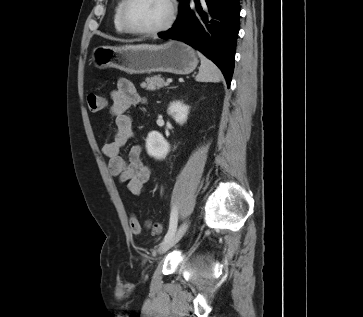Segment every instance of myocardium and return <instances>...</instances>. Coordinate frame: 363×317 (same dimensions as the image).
I'll return each instance as SVG.
<instances>
[{"label": "myocardium", "instance_id": "1", "mask_svg": "<svg viewBox=\"0 0 363 317\" xmlns=\"http://www.w3.org/2000/svg\"><path fill=\"white\" fill-rule=\"evenodd\" d=\"M132 2H133V0H124L122 7H121V12H120L122 26L130 34L139 35V36L159 35L165 31H167L173 25V23L176 19V15H177L176 0H166L167 4L169 6V14H168L166 21L162 25H160L157 28L147 29V30L134 28L130 24L129 19H128V10H129V7Z\"/></svg>", "mask_w": 363, "mask_h": 317}]
</instances>
